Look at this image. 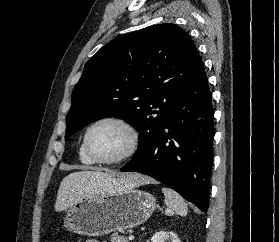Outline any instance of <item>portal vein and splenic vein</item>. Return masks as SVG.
<instances>
[{"mask_svg": "<svg viewBox=\"0 0 279 242\" xmlns=\"http://www.w3.org/2000/svg\"><path fill=\"white\" fill-rule=\"evenodd\" d=\"M134 239V236L133 235H130L129 236V240H133Z\"/></svg>", "mask_w": 279, "mask_h": 242, "instance_id": "1", "label": "portal vein and splenic vein"}]
</instances>
